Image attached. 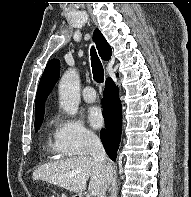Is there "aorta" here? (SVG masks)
<instances>
[{
    "label": "aorta",
    "mask_w": 191,
    "mask_h": 197,
    "mask_svg": "<svg viewBox=\"0 0 191 197\" xmlns=\"http://www.w3.org/2000/svg\"><path fill=\"white\" fill-rule=\"evenodd\" d=\"M80 80L75 69L67 70L59 83V105L69 115H75L80 102Z\"/></svg>",
    "instance_id": "obj_1"
}]
</instances>
